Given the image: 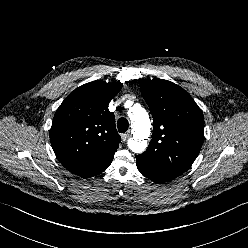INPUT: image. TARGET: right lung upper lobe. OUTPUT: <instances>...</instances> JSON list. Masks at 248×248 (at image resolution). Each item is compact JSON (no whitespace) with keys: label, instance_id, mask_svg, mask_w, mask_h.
Returning <instances> with one entry per match:
<instances>
[{"label":"right lung upper lobe","instance_id":"obj_1","mask_svg":"<svg viewBox=\"0 0 248 248\" xmlns=\"http://www.w3.org/2000/svg\"><path fill=\"white\" fill-rule=\"evenodd\" d=\"M121 88V82L93 81L71 92L57 109L51 145L70 172L90 178L111 164L121 138L108 104Z\"/></svg>","mask_w":248,"mask_h":248}]
</instances>
